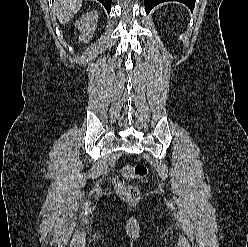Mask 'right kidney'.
Wrapping results in <instances>:
<instances>
[{"label": "right kidney", "mask_w": 248, "mask_h": 247, "mask_svg": "<svg viewBox=\"0 0 248 247\" xmlns=\"http://www.w3.org/2000/svg\"><path fill=\"white\" fill-rule=\"evenodd\" d=\"M98 19V12L90 11L85 13L79 20L76 21L75 25L78 27L79 31L82 33L79 36V41H84L85 43L89 38L92 37L96 29V24Z\"/></svg>", "instance_id": "ca27d5eb"}]
</instances>
